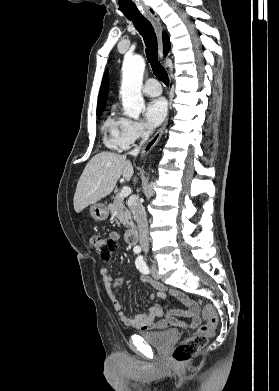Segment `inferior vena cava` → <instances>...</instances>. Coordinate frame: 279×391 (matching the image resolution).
Returning a JSON list of instances; mask_svg holds the SVG:
<instances>
[{"label": "inferior vena cava", "mask_w": 279, "mask_h": 391, "mask_svg": "<svg viewBox=\"0 0 279 391\" xmlns=\"http://www.w3.org/2000/svg\"><path fill=\"white\" fill-rule=\"evenodd\" d=\"M149 135H150L149 131H144L142 133L141 135L142 142L140 143V145H142L149 138ZM139 151H140V147H137L134 150H132L130 154L137 156ZM129 208L133 214L134 220L137 223L140 246L142 247L143 251L147 253L149 251V232H148L147 217H146L145 209L142 203L140 202L138 195H134L131 198Z\"/></svg>", "instance_id": "obj_1"}]
</instances>
